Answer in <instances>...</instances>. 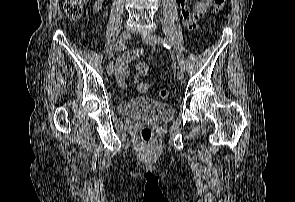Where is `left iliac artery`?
<instances>
[{"mask_svg": "<svg viewBox=\"0 0 295 202\" xmlns=\"http://www.w3.org/2000/svg\"><path fill=\"white\" fill-rule=\"evenodd\" d=\"M155 39L158 43L162 44L166 49L171 51V47L165 38H162L160 36H156ZM177 59H178V64H179L180 69L182 71H184V69H185L184 62L182 60H180L178 57H177Z\"/></svg>", "mask_w": 295, "mask_h": 202, "instance_id": "obj_1", "label": "left iliac artery"}]
</instances>
